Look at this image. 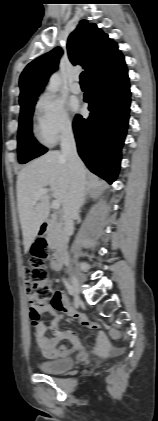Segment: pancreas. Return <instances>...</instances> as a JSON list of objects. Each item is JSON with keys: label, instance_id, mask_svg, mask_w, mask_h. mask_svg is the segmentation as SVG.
<instances>
[{"label": "pancreas", "instance_id": "obj_1", "mask_svg": "<svg viewBox=\"0 0 158 421\" xmlns=\"http://www.w3.org/2000/svg\"><path fill=\"white\" fill-rule=\"evenodd\" d=\"M63 228L60 221L52 218L46 232V239L51 249L57 248L63 240Z\"/></svg>", "mask_w": 158, "mask_h": 421}]
</instances>
